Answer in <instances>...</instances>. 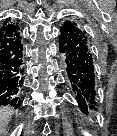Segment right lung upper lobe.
<instances>
[{
  "mask_svg": "<svg viewBox=\"0 0 117 136\" xmlns=\"http://www.w3.org/2000/svg\"><path fill=\"white\" fill-rule=\"evenodd\" d=\"M13 22H10V20H6L3 25L0 28V35L3 31L7 30L9 27H11Z\"/></svg>",
  "mask_w": 117,
  "mask_h": 136,
  "instance_id": "obj_1",
  "label": "right lung upper lobe"
}]
</instances>
